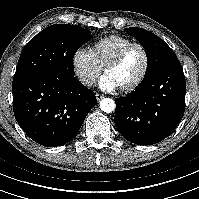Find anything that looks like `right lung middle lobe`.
<instances>
[{
	"label": "right lung middle lobe",
	"instance_id": "obj_1",
	"mask_svg": "<svg viewBox=\"0 0 199 199\" xmlns=\"http://www.w3.org/2000/svg\"><path fill=\"white\" fill-rule=\"evenodd\" d=\"M91 38L90 31L79 26L56 24L45 28L22 50L14 79L39 73L74 77L73 57Z\"/></svg>",
	"mask_w": 199,
	"mask_h": 199
}]
</instances>
